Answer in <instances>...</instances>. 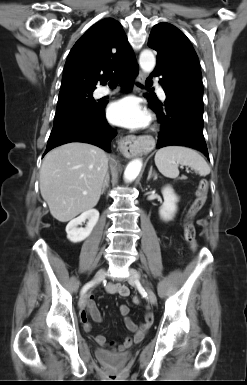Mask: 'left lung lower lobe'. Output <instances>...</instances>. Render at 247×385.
<instances>
[{"label": "left lung lower lobe", "instance_id": "left-lung-lower-lobe-1", "mask_svg": "<svg viewBox=\"0 0 247 385\" xmlns=\"http://www.w3.org/2000/svg\"><path fill=\"white\" fill-rule=\"evenodd\" d=\"M152 76L162 77L159 83L166 94L164 103L147 96L149 107L156 112L162 125L157 147L186 146L200 150L208 157L203 136V98L185 89L162 67H156ZM146 85H152L149 79Z\"/></svg>", "mask_w": 247, "mask_h": 385}]
</instances>
